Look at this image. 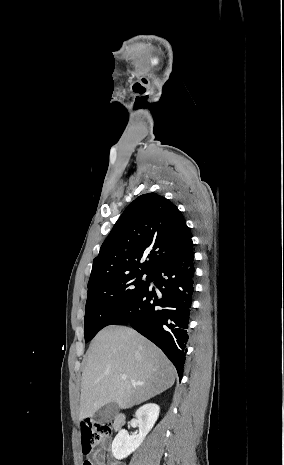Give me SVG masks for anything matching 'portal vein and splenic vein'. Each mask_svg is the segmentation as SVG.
<instances>
[{"label": "portal vein and splenic vein", "mask_w": 284, "mask_h": 465, "mask_svg": "<svg viewBox=\"0 0 284 465\" xmlns=\"http://www.w3.org/2000/svg\"><path fill=\"white\" fill-rule=\"evenodd\" d=\"M121 379H124V381H126L127 375H121ZM131 383H135V381H131Z\"/></svg>", "instance_id": "obj_1"}]
</instances>
